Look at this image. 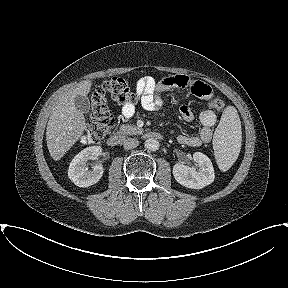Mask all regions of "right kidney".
<instances>
[{
	"mask_svg": "<svg viewBox=\"0 0 288 288\" xmlns=\"http://www.w3.org/2000/svg\"><path fill=\"white\" fill-rule=\"evenodd\" d=\"M100 154V146H91L79 152L72 159L68 169V177L76 186L89 187L101 179L104 172L101 165L94 166L92 171H89L86 167L88 160H94Z\"/></svg>",
	"mask_w": 288,
	"mask_h": 288,
	"instance_id": "1",
	"label": "right kidney"
}]
</instances>
